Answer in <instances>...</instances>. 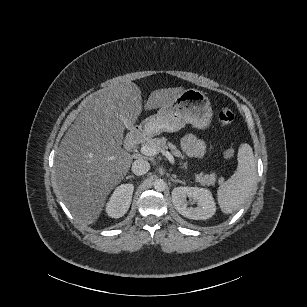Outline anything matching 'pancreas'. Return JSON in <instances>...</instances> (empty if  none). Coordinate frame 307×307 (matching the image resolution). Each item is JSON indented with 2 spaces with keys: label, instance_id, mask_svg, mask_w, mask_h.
Here are the masks:
<instances>
[{
  "label": "pancreas",
  "instance_id": "pancreas-1",
  "mask_svg": "<svg viewBox=\"0 0 307 307\" xmlns=\"http://www.w3.org/2000/svg\"><path fill=\"white\" fill-rule=\"evenodd\" d=\"M142 146H154L156 149L167 147V139L160 136L157 138H147ZM173 154L176 157H180V152L173 149ZM196 179L203 185H213L215 182L214 174H199L196 176Z\"/></svg>",
  "mask_w": 307,
  "mask_h": 307
}]
</instances>
